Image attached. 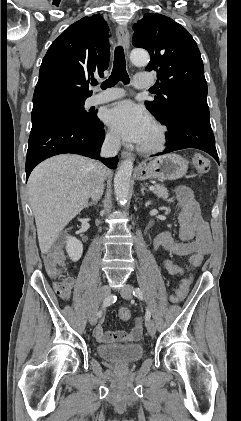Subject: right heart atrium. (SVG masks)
<instances>
[{"instance_id":"right-heart-atrium-1","label":"right heart atrium","mask_w":241,"mask_h":421,"mask_svg":"<svg viewBox=\"0 0 241 421\" xmlns=\"http://www.w3.org/2000/svg\"><path fill=\"white\" fill-rule=\"evenodd\" d=\"M106 142L113 147H116L119 144L118 137L113 132H108L106 134Z\"/></svg>"}]
</instances>
